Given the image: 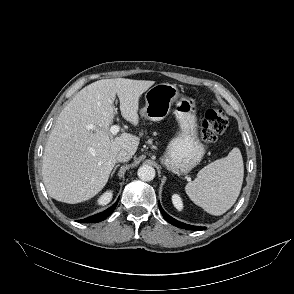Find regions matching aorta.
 Listing matches in <instances>:
<instances>
[{
	"instance_id": "1",
	"label": "aorta",
	"mask_w": 294,
	"mask_h": 294,
	"mask_svg": "<svg viewBox=\"0 0 294 294\" xmlns=\"http://www.w3.org/2000/svg\"><path fill=\"white\" fill-rule=\"evenodd\" d=\"M138 177L143 181H151L155 177V169L150 165H142L138 169Z\"/></svg>"
}]
</instances>
